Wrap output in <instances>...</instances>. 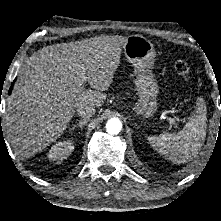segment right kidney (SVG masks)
<instances>
[{"instance_id":"1","label":"right kidney","mask_w":221,"mask_h":221,"mask_svg":"<svg viewBox=\"0 0 221 221\" xmlns=\"http://www.w3.org/2000/svg\"><path fill=\"white\" fill-rule=\"evenodd\" d=\"M74 149V145L71 141L58 142L51 147L47 157L53 161H62L66 159Z\"/></svg>"}]
</instances>
